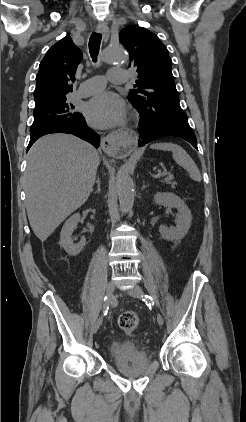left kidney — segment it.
I'll return each mask as SVG.
<instances>
[{"mask_svg": "<svg viewBox=\"0 0 246 422\" xmlns=\"http://www.w3.org/2000/svg\"><path fill=\"white\" fill-rule=\"evenodd\" d=\"M154 202L157 205L176 208L178 211L176 227L168 228L163 225L159 227V233L162 238L169 241H176L184 238L190 229L192 221L191 211L184 201L171 192H158L154 195Z\"/></svg>", "mask_w": 246, "mask_h": 422, "instance_id": "left-kidney-1", "label": "left kidney"}]
</instances>
